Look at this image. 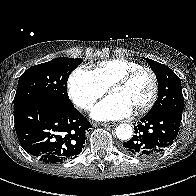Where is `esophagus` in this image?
Masks as SVG:
<instances>
[{
	"label": "esophagus",
	"instance_id": "34e87169",
	"mask_svg": "<svg viewBox=\"0 0 196 196\" xmlns=\"http://www.w3.org/2000/svg\"><path fill=\"white\" fill-rule=\"evenodd\" d=\"M101 125L102 126H114L115 123H113V122H105V123H102Z\"/></svg>",
	"mask_w": 196,
	"mask_h": 196
}]
</instances>
